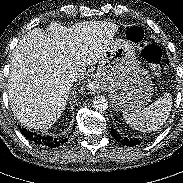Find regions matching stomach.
<instances>
[{
    "label": "stomach",
    "mask_w": 183,
    "mask_h": 183,
    "mask_svg": "<svg viewBox=\"0 0 183 183\" xmlns=\"http://www.w3.org/2000/svg\"><path fill=\"white\" fill-rule=\"evenodd\" d=\"M94 85L107 91L117 111L143 109L153 96V82L136 59L133 45L120 38L112 39L101 59Z\"/></svg>",
    "instance_id": "obj_1"
}]
</instances>
